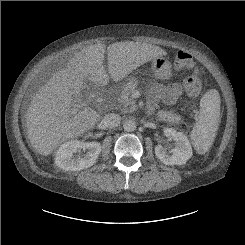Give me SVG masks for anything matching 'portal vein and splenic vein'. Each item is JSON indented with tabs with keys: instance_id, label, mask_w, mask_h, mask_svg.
<instances>
[{
	"instance_id": "portal-vein-and-splenic-vein-1",
	"label": "portal vein and splenic vein",
	"mask_w": 245,
	"mask_h": 245,
	"mask_svg": "<svg viewBox=\"0 0 245 245\" xmlns=\"http://www.w3.org/2000/svg\"><path fill=\"white\" fill-rule=\"evenodd\" d=\"M79 108V105H74V107L71 109V115H75L78 112Z\"/></svg>"
}]
</instances>
